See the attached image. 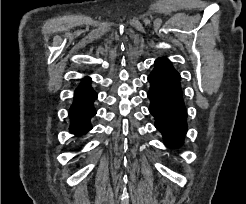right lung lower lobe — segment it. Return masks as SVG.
Wrapping results in <instances>:
<instances>
[{"label":"right lung lower lobe","mask_w":246,"mask_h":204,"mask_svg":"<svg viewBox=\"0 0 246 204\" xmlns=\"http://www.w3.org/2000/svg\"><path fill=\"white\" fill-rule=\"evenodd\" d=\"M96 98L97 94L90 86V78L86 77L76 89L74 101L70 108L71 133L81 135L92 128L90 118L96 114L93 107Z\"/></svg>","instance_id":"right-lung-lower-lobe-1"}]
</instances>
